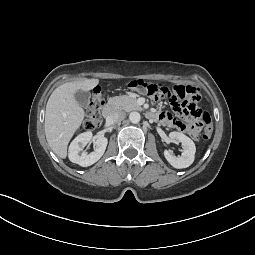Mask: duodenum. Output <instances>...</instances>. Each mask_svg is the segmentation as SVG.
<instances>
[{"label": "duodenum", "mask_w": 255, "mask_h": 255, "mask_svg": "<svg viewBox=\"0 0 255 255\" xmlns=\"http://www.w3.org/2000/svg\"><path fill=\"white\" fill-rule=\"evenodd\" d=\"M114 114V109L112 106L107 105L105 106V108L103 109V116L106 120H111ZM149 117L150 118H155V114L154 113H149Z\"/></svg>", "instance_id": "410a0bca"}]
</instances>
